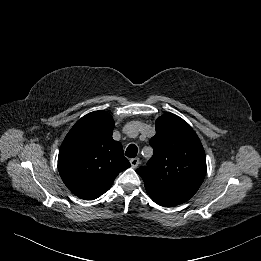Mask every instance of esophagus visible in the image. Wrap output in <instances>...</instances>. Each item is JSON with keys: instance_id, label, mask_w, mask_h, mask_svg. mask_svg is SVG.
Here are the masks:
<instances>
[{"instance_id": "1", "label": "esophagus", "mask_w": 261, "mask_h": 261, "mask_svg": "<svg viewBox=\"0 0 261 261\" xmlns=\"http://www.w3.org/2000/svg\"><path fill=\"white\" fill-rule=\"evenodd\" d=\"M139 162H140L139 158H132V159L130 160L131 166H132L133 168H136V167L139 165Z\"/></svg>"}]
</instances>
